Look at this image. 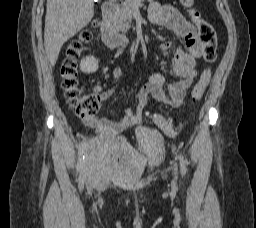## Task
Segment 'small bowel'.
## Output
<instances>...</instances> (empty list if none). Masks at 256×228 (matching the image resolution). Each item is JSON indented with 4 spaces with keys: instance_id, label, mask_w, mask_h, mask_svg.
<instances>
[{
    "instance_id": "c3829d8e",
    "label": "small bowel",
    "mask_w": 256,
    "mask_h": 228,
    "mask_svg": "<svg viewBox=\"0 0 256 228\" xmlns=\"http://www.w3.org/2000/svg\"><path fill=\"white\" fill-rule=\"evenodd\" d=\"M149 19L153 24L166 27L183 39L186 50L176 49L172 59L173 71L180 80L169 85V95H167L164 87V77L159 73L150 74L136 93L137 108L135 112L127 108L124 116L117 121L95 117L85 119V123L98 132L119 133L127 128L139 125L143 120V112L150 96L172 108H179L183 104L187 90L197 77L198 72L195 65L196 60L202 55L203 45L197 36L195 26L175 7L159 3H153L150 6ZM170 47L171 42L169 41L158 46L162 51H166ZM112 76L113 78H119L121 69L114 68ZM94 92L99 94L102 100H107L114 94L115 88L102 91L100 86H96Z\"/></svg>"
}]
</instances>
